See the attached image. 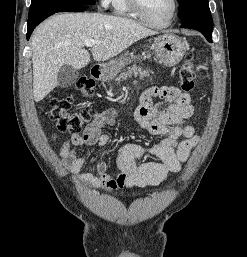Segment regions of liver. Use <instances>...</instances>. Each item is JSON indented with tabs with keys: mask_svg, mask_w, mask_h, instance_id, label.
Masks as SVG:
<instances>
[{
	"mask_svg": "<svg viewBox=\"0 0 247 257\" xmlns=\"http://www.w3.org/2000/svg\"><path fill=\"white\" fill-rule=\"evenodd\" d=\"M157 34L127 18L101 13H63L40 24L31 38L33 96L36 102L58 85L63 65L81 69L90 62L84 41L93 39L91 53L95 61H106L123 52L138 40Z\"/></svg>",
	"mask_w": 247,
	"mask_h": 257,
	"instance_id": "6515ba94",
	"label": "liver"
}]
</instances>
